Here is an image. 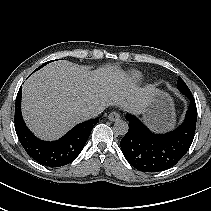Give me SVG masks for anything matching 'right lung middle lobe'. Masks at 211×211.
<instances>
[{
    "label": "right lung middle lobe",
    "instance_id": "obj_1",
    "mask_svg": "<svg viewBox=\"0 0 211 211\" xmlns=\"http://www.w3.org/2000/svg\"><path fill=\"white\" fill-rule=\"evenodd\" d=\"M49 62L44 63L43 65H41L39 68H37L35 71L39 70L41 67H43L44 65H46Z\"/></svg>",
    "mask_w": 211,
    "mask_h": 211
}]
</instances>
